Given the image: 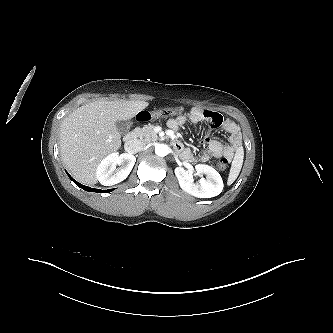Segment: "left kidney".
<instances>
[{
  "label": "left kidney",
  "mask_w": 333,
  "mask_h": 333,
  "mask_svg": "<svg viewBox=\"0 0 333 333\" xmlns=\"http://www.w3.org/2000/svg\"><path fill=\"white\" fill-rule=\"evenodd\" d=\"M197 175L205 174L206 178H201L194 182L193 175L184 168H175V175L183 191L198 197L211 198L219 195L223 190V180L220 174L211 166L198 164L195 167Z\"/></svg>",
  "instance_id": "5707ae66"
}]
</instances>
